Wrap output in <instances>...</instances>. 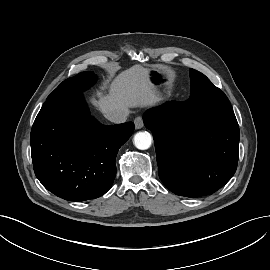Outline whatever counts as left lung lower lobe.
<instances>
[{
    "mask_svg": "<svg viewBox=\"0 0 270 270\" xmlns=\"http://www.w3.org/2000/svg\"><path fill=\"white\" fill-rule=\"evenodd\" d=\"M153 133L158 174L179 196L212 194L234 175L239 126L232 108L204 110L195 91L187 101H168L143 115Z\"/></svg>",
    "mask_w": 270,
    "mask_h": 270,
    "instance_id": "obj_1",
    "label": "left lung lower lobe"
}]
</instances>
